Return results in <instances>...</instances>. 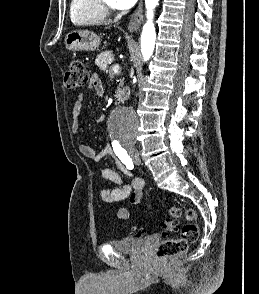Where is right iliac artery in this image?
Instances as JSON below:
<instances>
[{"mask_svg": "<svg viewBox=\"0 0 259 294\" xmlns=\"http://www.w3.org/2000/svg\"><path fill=\"white\" fill-rule=\"evenodd\" d=\"M112 147L118 158L126 165L128 169L132 170L134 168L133 161L126 150L123 149L118 142H113Z\"/></svg>", "mask_w": 259, "mask_h": 294, "instance_id": "82829eb1", "label": "right iliac artery"}]
</instances>
